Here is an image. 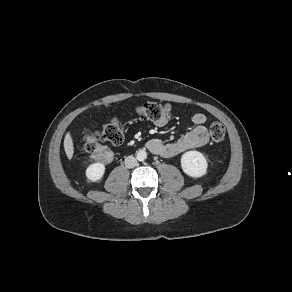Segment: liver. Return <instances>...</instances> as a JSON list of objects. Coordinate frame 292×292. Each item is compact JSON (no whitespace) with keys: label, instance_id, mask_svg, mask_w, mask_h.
Instances as JSON below:
<instances>
[{"label":"liver","instance_id":"liver-1","mask_svg":"<svg viewBox=\"0 0 292 292\" xmlns=\"http://www.w3.org/2000/svg\"><path fill=\"white\" fill-rule=\"evenodd\" d=\"M64 150L67 155V158L69 160L72 159L73 153H74V145H73V140L70 135V132H67L65 138H64Z\"/></svg>","mask_w":292,"mask_h":292}]
</instances>
